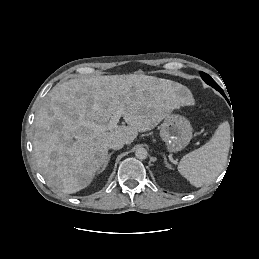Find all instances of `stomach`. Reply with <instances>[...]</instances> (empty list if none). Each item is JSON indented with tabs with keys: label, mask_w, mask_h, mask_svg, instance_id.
<instances>
[{
	"label": "stomach",
	"mask_w": 259,
	"mask_h": 259,
	"mask_svg": "<svg viewBox=\"0 0 259 259\" xmlns=\"http://www.w3.org/2000/svg\"><path fill=\"white\" fill-rule=\"evenodd\" d=\"M183 91L187 92L186 88ZM192 126L188 119L178 114L169 113L160 129V136L170 152L184 149L192 138Z\"/></svg>",
	"instance_id": "obj_1"
}]
</instances>
